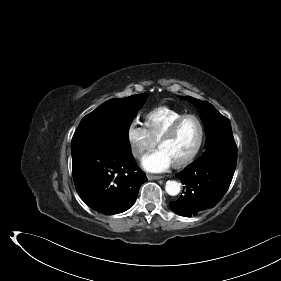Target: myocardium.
Returning a JSON list of instances; mask_svg holds the SVG:
<instances>
[{
	"mask_svg": "<svg viewBox=\"0 0 281 281\" xmlns=\"http://www.w3.org/2000/svg\"><path fill=\"white\" fill-rule=\"evenodd\" d=\"M188 118H193L197 121L198 126H199V131H200L199 139H198V142H197L195 148L188 156H186L184 159H182L180 161L173 163V165L177 168L187 166L199 154V152L202 148L204 136H205V130H204V125H203L202 120L196 114H183L182 116H180L179 118H177L175 121L172 122V124L168 127V129L164 132V134L158 140V147L160 148L163 143H165L170 138H172V136L175 134V132L178 129V127L180 126V124Z\"/></svg>",
	"mask_w": 281,
	"mask_h": 281,
	"instance_id": "1",
	"label": "myocardium"
}]
</instances>
